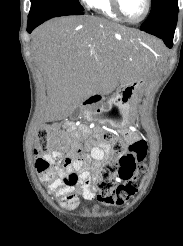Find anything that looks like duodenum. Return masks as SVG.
<instances>
[{
  "label": "duodenum",
  "mask_w": 183,
  "mask_h": 246,
  "mask_svg": "<svg viewBox=\"0 0 183 246\" xmlns=\"http://www.w3.org/2000/svg\"><path fill=\"white\" fill-rule=\"evenodd\" d=\"M101 100V97L100 95L98 94H94L92 96H90L88 98V100L86 101L87 104H95V103H98L99 101ZM90 107V106H89Z\"/></svg>",
  "instance_id": "410a0bca"
}]
</instances>
